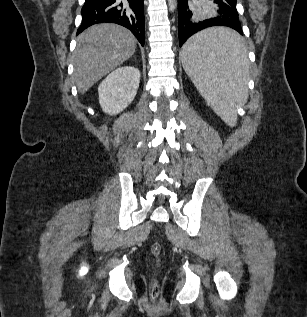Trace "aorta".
I'll use <instances>...</instances> for the list:
<instances>
[{
    "mask_svg": "<svg viewBox=\"0 0 307 317\" xmlns=\"http://www.w3.org/2000/svg\"><path fill=\"white\" fill-rule=\"evenodd\" d=\"M168 6L170 11H174L176 8V0H168Z\"/></svg>",
    "mask_w": 307,
    "mask_h": 317,
    "instance_id": "762f6f07",
    "label": "aorta"
}]
</instances>
